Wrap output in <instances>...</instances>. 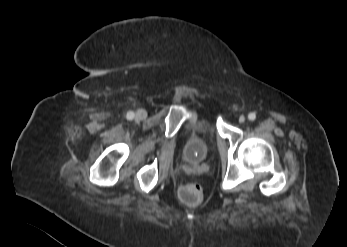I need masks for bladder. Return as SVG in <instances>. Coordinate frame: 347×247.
<instances>
[{
  "label": "bladder",
  "mask_w": 347,
  "mask_h": 247,
  "mask_svg": "<svg viewBox=\"0 0 347 247\" xmlns=\"http://www.w3.org/2000/svg\"><path fill=\"white\" fill-rule=\"evenodd\" d=\"M216 122V116L210 109L195 112L183 147L186 162L199 164L206 160L216 141Z\"/></svg>",
  "instance_id": "1"
}]
</instances>
